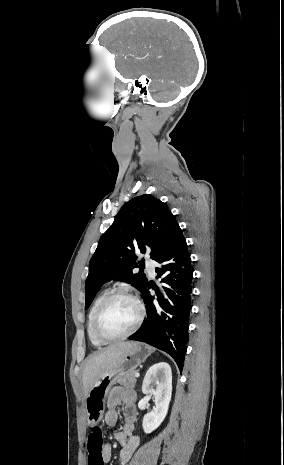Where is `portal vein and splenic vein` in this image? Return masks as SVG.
<instances>
[{
    "instance_id": "portal-vein-and-splenic-vein-1",
    "label": "portal vein and splenic vein",
    "mask_w": 284,
    "mask_h": 465,
    "mask_svg": "<svg viewBox=\"0 0 284 465\" xmlns=\"http://www.w3.org/2000/svg\"><path fill=\"white\" fill-rule=\"evenodd\" d=\"M135 377H140V373H135Z\"/></svg>"
}]
</instances>
